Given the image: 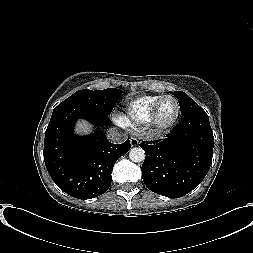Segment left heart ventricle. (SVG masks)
<instances>
[{
    "instance_id": "left-heart-ventricle-1",
    "label": "left heart ventricle",
    "mask_w": 253,
    "mask_h": 253,
    "mask_svg": "<svg viewBox=\"0 0 253 253\" xmlns=\"http://www.w3.org/2000/svg\"><path fill=\"white\" fill-rule=\"evenodd\" d=\"M176 113V104L172 99H165L159 108L158 121L159 123L169 122Z\"/></svg>"
}]
</instances>
